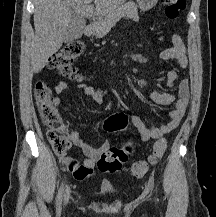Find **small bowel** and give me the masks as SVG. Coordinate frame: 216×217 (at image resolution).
Masks as SVG:
<instances>
[{"instance_id":"c3829d8e","label":"small bowel","mask_w":216,"mask_h":217,"mask_svg":"<svg viewBox=\"0 0 216 217\" xmlns=\"http://www.w3.org/2000/svg\"><path fill=\"white\" fill-rule=\"evenodd\" d=\"M165 36L160 37V41H164ZM172 46L164 49L159 58L162 61H176L178 66L182 69H185L188 65V57L185 45L181 37L177 34L172 35L171 37ZM178 79V72L176 70H170L166 74V83L167 86L172 88L175 86V83ZM69 88V85L66 82L59 83L55 87V92L58 95L65 93ZM78 88L81 90L82 94L95 101L98 104L103 103V91L91 86H86L84 84H79ZM190 94V85L189 81L184 79L178 85L177 94L170 92H157L151 91L149 93V98L160 106H166L174 104L175 107L173 110L169 111V121L161 126H151L147 127L141 118L136 114H130V120L135 128L139 138L142 141H150L154 139L161 138L162 136L175 130L181 123L189 100ZM61 100L59 97L54 98V105L59 106ZM69 139L74 146L79 148L83 154V160L81 165H78V168L81 170L79 176L74 175L77 180H85L90 178L94 173V168L97 160L100 158L102 153L108 148L109 142L106 139H100L96 143H89L83 140L79 133L75 130L68 131ZM106 187L107 183L104 184Z\"/></svg>"}]
</instances>
